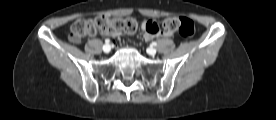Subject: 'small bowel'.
I'll list each match as a JSON object with an SVG mask.
<instances>
[{
	"label": "small bowel",
	"mask_w": 276,
	"mask_h": 120,
	"mask_svg": "<svg viewBox=\"0 0 276 120\" xmlns=\"http://www.w3.org/2000/svg\"><path fill=\"white\" fill-rule=\"evenodd\" d=\"M143 30H144V33H143V37L145 40H151V39H154L156 37H170L171 34L169 33H166V32H162L161 30H159L157 33H149L145 30L144 28V25H143ZM103 35H108V34H105V33H102ZM117 34H114L112 36H116Z\"/></svg>",
	"instance_id": "obj_1"
}]
</instances>
